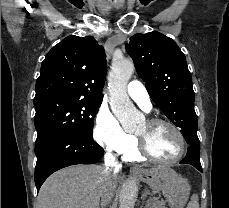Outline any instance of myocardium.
I'll list each match as a JSON object with an SVG mask.
<instances>
[{
  "label": "myocardium",
  "mask_w": 229,
  "mask_h": 208,
  "mask_svg": "<svg viewBox=\"0 0 229 208\" xmlns=\"http://www.w3.org/2000/svg\"><path fill=\"white\" fill-rule=\"evenodd\" d=\"M146 123L151 125V126L165 125V126L171 127L174 130H170L169 134L174 135V139H175V142L177 143L178 147H185V148L179 156H177L175 158H171V160H158V157H151V152H147L148 144L146 143V140L149 138L137 134V137L140 140V142H137V147H139L137 149L138 153H144L145 158L149 157L152 161L162 163V164L176 163L185 157V155L188 153V151L191 147V143H190L187 135L184 133V131L178 125L174 124L171 121L159 119V118H150L146 121ZM178 133H180V134H178Z\"/></svg>",
  "instance_id": "obj_1"
}]
</instances>
